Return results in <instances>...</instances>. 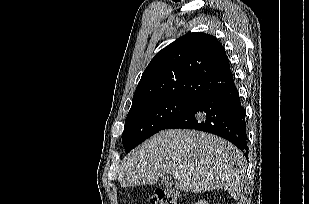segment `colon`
<instances>
[{"instance_id":"1","label":"colon","mask_w":309,"mask_h":204,"mask_svg":"<svg viewBox=\"0 0 309 204\" xmlns=\"http://www.w3.org/2000/svg\"><path fill=\"white\" fill-rule=\"evenodd\" d=\"M179 194L171 188H158L151 199V204H177Z\"/></svg>"}]
</instances>
